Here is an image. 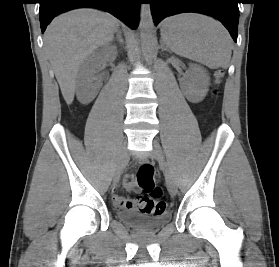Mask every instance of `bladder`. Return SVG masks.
<instances>
[{"mask_svg": "<svg viewBox=\"0 0 279 267\" xmlns=\"http://www.w3.org/2000/svg\"><path fill=\"white\" fill-rule=\"evenodd\" d=\"M119 219L126 225L143 231H155L170 220V214L148 216L134 210H125L118 213Z\"/></svg>", "mask_w": 279, "mask_h": 267, "instance_id": "31cf9c89", "label": "bladder"}]
</instances>
